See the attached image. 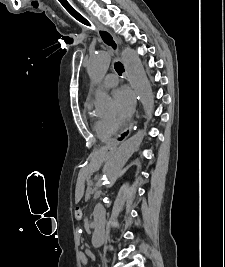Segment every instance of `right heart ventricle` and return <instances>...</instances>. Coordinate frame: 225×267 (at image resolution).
I'll return each instance as SVG.
<instances>
[{
    "label": "right heart ventricle",
    "instance_id": "e07e8e85",
    "mask_svg": "<svg viewBox=\"0 0 225 267\" xmlns=\"http://www.w3.org/2000/svg\"><path fill=\"white\" fill-rule=\"evenodd\" d=\"M92 117H93V128L97 136L102 140H109L112 137L113 133H111L107 129L105 120L94 115H92Z\"/></svg>",
    "mask_w": 225,
    "mask_h": 267
}]
</instances>
